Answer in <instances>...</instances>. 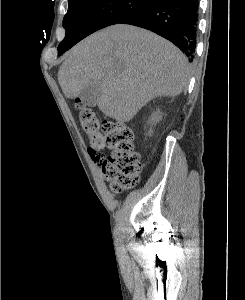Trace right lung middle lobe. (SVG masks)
<instances>
[{"label": "right lung middle lobe", "instance_id": "right-lung-middle-lobe-1", "mask_svg": "<svg viewBox=\"0 0 245 300\" xmlns=\"http://www.w3.org/2000/svg\"><path fill=\"white\" fill-rule=\"evenodd\" d=\"M153 0H68L63 26L66 35L58 46L60 56L91 33L117 24Z\"/></svg>", "mask_w": 245, "mask_h": 300}]
</instances>
